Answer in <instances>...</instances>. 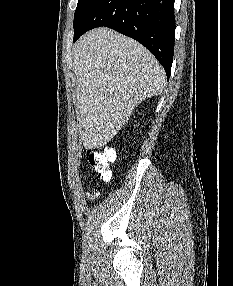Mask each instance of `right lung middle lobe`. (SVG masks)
<instances>
[{
    "label": "right lung middle lobe",
    "instance_id": "dd1d6c3e",
    "mask_svg": "<svg viewBox=\"0 0 233 286\" xmlns=\"http://www.w3.org/2000/svg\"><path fill=\"white\" fill-rule=\"evenodd\" d=\"M93 0H78L74 14V27L81 21Z\"/></svg>",
    "mask_w": 233,
    "mask_h": 286
}]
</instances>
